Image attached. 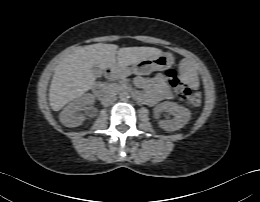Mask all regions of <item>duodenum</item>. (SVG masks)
Returning <instances> with one entry per match:
<instances>
[{
	"instance_id": "duodenum-1",
	"label": "duodenum",
	"mask_w": 260,
	"mask_h": 202,
	"mask_svg": "<svg viewBox=\"0 0 260 202\" xmlns=\"http://www.w3.org/2000/svg\"><path fill=\"white\" fill-rule=\"evenodd\" d=\"M106 75L109 78H116L122 75V71L117 68H110L107 70ZM94 90L100 91V87L95 85Z\"/></svg>"
}]
</instances>
